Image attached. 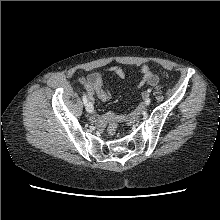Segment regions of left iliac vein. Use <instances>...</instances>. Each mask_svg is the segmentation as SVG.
Segmentation results:
<instances>
[{
	"mask_svg": "<svg viewBox=\"0 0 220 220\" xmlns=\"http://www.w3.org/2000/svg\"><path fill=\"white\" fill-rule=\"evenodd\" d=\"M147 99H149L150 100V98L148 97ZM145 105L147 106V105H149V104H147L146 102H145Z\"/></svg>",
	"mask_w": 220,
	"mask_h": 220,
	"instance_id": "obj_1",
	"label": "left iliac vein"
}]
</instances>
